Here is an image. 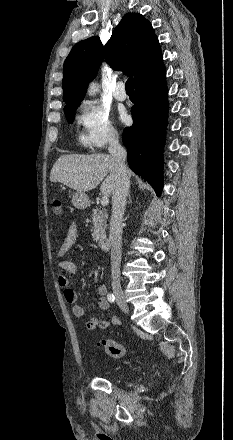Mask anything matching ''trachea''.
Returning <instances> with one entry per match:
<instances>
[{
  "mask_svg": "<svg viewBox=\"0 0 233 440\" xmlns=\"http://www.w3.org/2000/svg\"><path fill=\"white\" fill-rule=\"evenodd\" d=\"M125 86H126V91L134 92V82H133V78L132 77H130L126 81Z\"/></svg>",
  "mask_w": 233,
  "mask_h": 440,
  "instance_id": "trachea-1",
  "label": "trachea"
}]
</instances>
